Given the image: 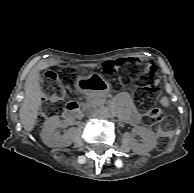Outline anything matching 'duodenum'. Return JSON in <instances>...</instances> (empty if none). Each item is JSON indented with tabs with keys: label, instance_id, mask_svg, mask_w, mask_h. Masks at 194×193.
<instances>
[{
	"label": "duodenum",
	"instance_id": "duodenum-1",
	"mask_svg": "<svg viewBox=\"0 0 194 193\" xmlns=\"http://www.w3.org/2000/svg\"><path fill=\"white\" fill-rule=\"evenodd\" d=\"M80 109V104L78 102L70 101L63 111V116L65 119L71 120L80 114Z\"/></svg>",
	"mask_w": 194,
	"mask_h": 193
}]
</instances>
